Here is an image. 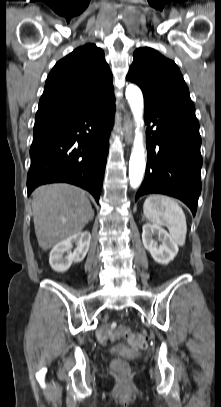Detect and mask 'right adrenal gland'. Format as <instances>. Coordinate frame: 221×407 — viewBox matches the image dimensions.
<instances>
[{"label": "right adrenal gland", "instance_id": "right-adrenal-gland-1", "mask_svg": "<svg viewBox=\"0 0 221 407\" xmlns=\"http://www.w3.org/2000/svg\"><path fill=\"white\" fill-rule=\"evenodd\" d=\"M93 217H94V211H93ZM93 217H92V219H93Z\"/></svg>", "mask_w": 221, "mask_h": 407}]
</instances>
